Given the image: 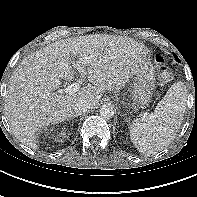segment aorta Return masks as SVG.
Masks as SVG:
<instances>
[{
	"instance_id": "1",
	"label": "aorta",
	"mask_w": 197,
	"mask_h": 197,
	"mask_svg": "<svg viewBox=\"0 0 197 197\" xmlns=\"http://www.w3.org/2000/svg\"><path fill=\"white\" fill-rule=\"evenodd\" d=\"M99 112H100L101 117L105 119H110L114 116V108L113 106L109 104L102 105Z\"/></svg>"
}]
</instances>
